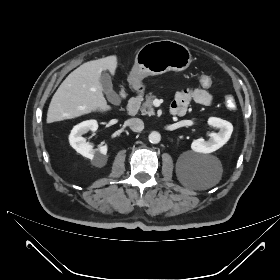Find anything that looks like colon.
I'll return each mask as SVG.
<instances>
[{"instance_id": "colon-1", "label": "colon", "mask_w": 280, "mask_h": 280, "mask_svg": "<svg viewBox=\"0 0 280 280\" xmlns=\"http://www.w3.org/2000/svg\"><path fill=\"white\" fill-rule=\"evenodd\" d=\"M197 84L202 89H207L212 84V79L207 74H201L197 78ZM225 106L230 109L234 110L236 108V101L235 98L232 95H226L224 98Z\"/></svg>"}]
</instances>
